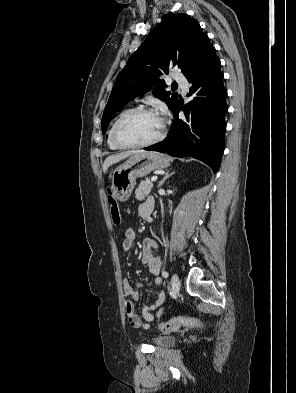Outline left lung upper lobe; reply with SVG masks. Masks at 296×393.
<instances>
[{
    "instance_id": "obj_1",
    "label": "left lung upper lobe",
    "mask_w": 296,
    "mask_h": 393,
    "mask_svg": "<svg viewBox=\"0 0 296 393\" xmlns=\"http://www.w3.org/2000/svg\"><path fill=\"white\" fill-rule=\"evenodd\" d=\"M215 48L199 23L187 14H166L147 36L118 75L105 107L101 127L105 133L114 114L138 95L149 91L172 110L178 104L177 93L165 91V81L158 77L178 66L190 77ZM179 52V59L176 53Z\"/></svg>"
}]
</instances>
